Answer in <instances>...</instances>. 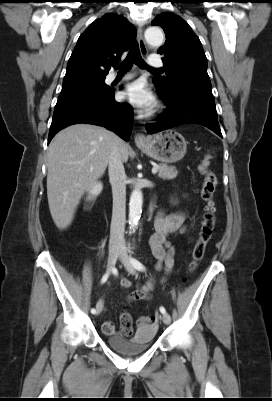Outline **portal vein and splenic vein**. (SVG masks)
<instances>
[{"instance_id":"18ae733b","label":"portal vein and splenic vein","mask_w":272,"mask_h":401,"mask_svg":"<svg viewBox=\"0 0 272 401\" xmlns=\"http://www.w3.org/2000/svg\"><path fill=\"white\" fill-rule=\"evenodd\" d=\"M157 171H158V168H157V167H153V168H152V173H153V174H156Z\"/></svg>"}]
</instances>
